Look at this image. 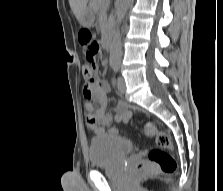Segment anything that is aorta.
<instances>
[{
  "label": "aorta",
  "mask_w": 223,
  "mask_h": 191,
  "mask_svg": "<svg viewBox=\"0 0 223 191\" xmlns=\"http://www.w3.org/2000/svg\"><path fill=\"white\" fill-rule=\"evenodd\" d=\"M131 3V0H118L116 7V21L117 24L120 25L124 16L128 10V7ZM122 50H121V35L118 30L113 37L111 43V51H110V64L111 65H119L121 62Z\"/></svg>",
  "instance_id": "1"
}]
</instances>
